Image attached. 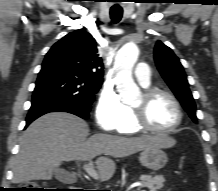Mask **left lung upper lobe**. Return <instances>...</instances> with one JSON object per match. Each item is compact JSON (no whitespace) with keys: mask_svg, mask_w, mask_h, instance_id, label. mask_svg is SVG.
<instances>
[{"mask_svg":"<svg viewBox=\"0 0 218 191\" xmlns=\"http://www.w3.org/2000/svg\"><path fill=\"white\" fill-rule=\"evenodd\" d=\"M154 57L157 68L162 77L171 88L181 105L196 123V105L194 98L189 90V83L178 57L172 49L160 41L156 43Z\"/></svg>","mask_w":218,"mask_h":191,"instance_id":"1","label":"left lung upper lobe"}]
</instances>
